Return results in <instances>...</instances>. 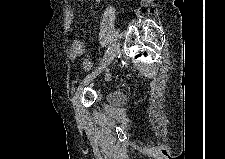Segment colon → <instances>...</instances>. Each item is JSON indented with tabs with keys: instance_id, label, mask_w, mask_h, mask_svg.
Here are the masks:
<instances>
[{
	"instance_id": "1",
	"label": "colon",
	"mask_w": 225,
	"mask_h": 159,
	"mask_svg": "<svg viewBox=\"0 0 225 159\" xmlns=\"http://www.w3.org/2000/svg\"><path fill=\"white\" fill-rule=\"evenodd\" d=\"M83 65L86 70H91L93 68V62H92V60H90L88 58L84 60ZM107 78L125 79V76L121 75L118 72H110L107 75Z\"/></svg>"
}]
</instances>
